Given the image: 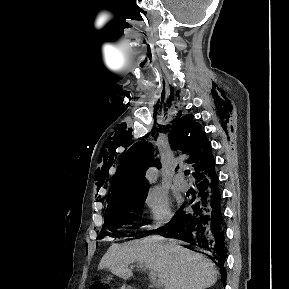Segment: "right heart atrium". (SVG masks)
Here are the masks:
<instances>
[{
    "mask_svg": "<svg viewBox=\"0 0 289 289\" xmlns=\"http://www.w3.org/2000/svg\"><path fill=\"white\" fill-rule=\"evenodd\" d=\"M143 204L150 220L146 229L155 230L161 228L171 220L170 201L167 194L161 189H149L144 196Z\"/></svg>",
    "mask_w": 289,
    "mask_h": 289,
    "instance_id": "d8ad5b80",
    "label": "right heart atrium"
}]
</instances>
